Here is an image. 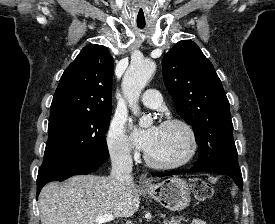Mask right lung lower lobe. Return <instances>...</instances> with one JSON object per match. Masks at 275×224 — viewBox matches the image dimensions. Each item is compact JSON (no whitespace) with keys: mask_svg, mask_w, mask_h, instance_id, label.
Here are the masks:
<instances>
[{"mask_svg":"<svg viewBox=\"0 0 275 224\" xmlns=\"http://www.w3.org/2000/svg\"><path fill=\"white\" fill-rule=\"evenodd\" d=\"M108 158V150H101L83 156L43 161L37 177V197L48 182L63 181L73 175L89 174L96 171Z\"/></svg>","mask_w":275,"mask_h":224,"instance_id":"1","label":"right lung lower lobe"}]
</instances>
